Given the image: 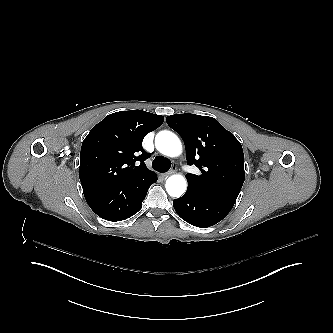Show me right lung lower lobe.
Here are the masks:
<instances>
[{"mask_svg":"<svg viewBox=\"0 0 333 333\" xmlns=\"http://www.w3.org/2000/svg\"><path fill=\"white\" fill-rule=\"evenodd\" d=\"M156 181V173L148 171L121 181L89 179L81 184L88 205L99 217L121 221L141 209L148 188Z\"/></svg>","mask_w":333,"mask_h":333,"instance_id":"obj_1","label":"right lung lower lobe"}]
</instances>
